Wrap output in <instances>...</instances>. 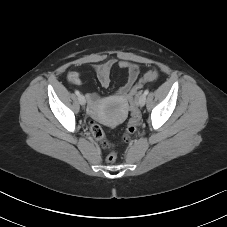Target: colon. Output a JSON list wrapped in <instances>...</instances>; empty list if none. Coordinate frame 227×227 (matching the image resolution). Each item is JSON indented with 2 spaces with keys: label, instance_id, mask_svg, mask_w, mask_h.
<instances>
[{
  "label": "colon",
  "instance_id": "5ec220e1",
  "mask_svg": "<svg viewBox=\"0 0 227 227\" xmlns=\"http://www.w3.org/2000/svg\"><path fill=\"white\" fill-rule=\"evenodd\" d=\"M158 79V73L155 70H150L144 74L141 80L132 88L128 95V101L130 104V118L125 126L124 140L127 141L135 133L137 126L140 122V113L136 106V98L142 88L143 84L146 82H154ZM90 132L93 138L103 147L108 148L109 143L106 140L105 133L102 127L96 123H90ZM117 155L115 152H110L107 155V162L114 163L116 161Z\"/></svg>",
  "mask_w": 227,
  "mask_h": 227
}]
</instances>
